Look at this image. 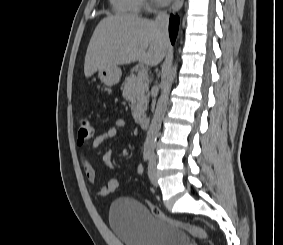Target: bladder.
Wrapping results in <instances>:
<instances>
[{
	"instance_id": "obj_1",
	"label": "bladder",
	"mask_w": 283,
	"mask_h": 245,
	"mask_svg": "<svg viewBox=\"0 0 283 245\" xmlns=\"http://www.w3.org/2000/svg\"><path fill=\"white\" fill-rule=\"evenodd\" d=\"M109 222L125 245H190L186 233L162 221L148 206L131 198L112 202Z\"/></svg>"
}]
</instances>
